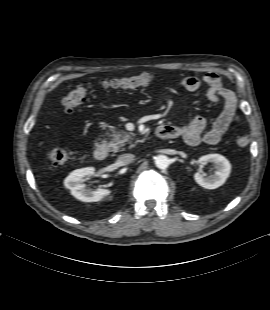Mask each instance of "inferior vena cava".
<instances>
[{
  "label": "inferior vena cava",
  "mask_w": 270,
  "mask_h": 310,
  "mask_svg": "<svg viewBox=\"0 0 270 310\" xmlns=\"http://www.w3.org/2000/svg\"><path fill=\"white\" fill-rule=\"evenodd\" d=\"M134 155L133 154H129V153H126V154H122L118 157V162L121 164V165H127V164H130L131 162H133L134 160Z\"/></svg>",
  "instance_id": "602c4592"
}]
</instances>
